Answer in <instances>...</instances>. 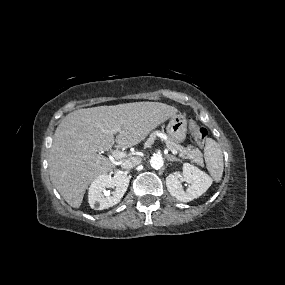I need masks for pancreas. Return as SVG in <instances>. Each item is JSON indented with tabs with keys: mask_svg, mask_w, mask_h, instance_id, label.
<instances>
[{
	"mask_svg": "<svg viewBox=\"0 0 285 285\" xmlns=\"http://www.w3.org/2000/svg\"><path fill=\"white\" fill-rule=\"evenodd\" d=\"M160 133L159 131H154L150 134V137L147 140V145H151L154 143V140L157 137V134ZM168 149L170 150H177L179 152V156L184 159H190L193 162H196L198 165L203 164V155L198 148H192L191 146L185 148L180 144H177L173 141L166 142Z\"/></svg>",
	"mask_w": 285,
	"mask_h": 285,
	"instance_id": "cf45deb5",
	"label": "pancreas"
}]
</instances>
